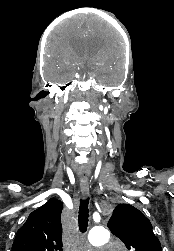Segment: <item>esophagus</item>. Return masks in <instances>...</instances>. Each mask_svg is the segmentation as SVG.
I'll return each mask as SVG.
<instances>
[{"label":"esophagus","instance_id":"obj_1","mask_svg":"<svg viewBox=\"0 0 174 251\" xmlns=\"http://www.w3.org/2000/svg\"><path fill=\"white\" fill-rule=\"evenodd\" d=\"M80 190L84 197H87L89 195V184L87 182H82L80 184Z\"/></svg>","mask_w":174,"mask_h":251}]
</instances>
